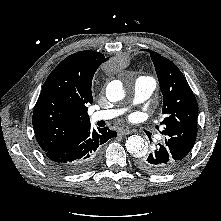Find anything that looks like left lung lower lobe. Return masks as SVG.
I'll use <instances>...</instances> for the list:
<instances>
[{
  "label": "left lung lower lobe",
  "mask_w": 221,
  "mask_h": 221,
  "mask_svg": "<svg viewBox=\"0 0 221 221\" xmlns=\"http://www.w3.org/2000/svg\"><path fill=\"white\" fill-rule=\"evenodd\" d=\"M136 164L141 170L151 174H167L181 163L165 143H158L149 154L139 157Z\"/></svg>",
  "instance_id": "1"
}]
</instances>
